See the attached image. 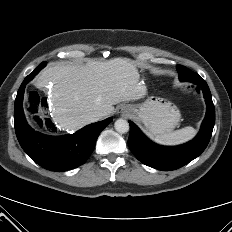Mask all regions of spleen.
Returning a JSON list of instances; mask_svg holds the SVG:
<instances>
[{"label":"spleen","instance_id":"obj_1","mask_svg":"<svg viewBox=\"0 0 232 232\" xmlns=\"http://www.w3.org/2000/svg\"><path fill=\"white\" fill-rule=\"evenodd\" d=\"M196 134L193 127H185L174 132H169L163 135H154L152 139L161 145L173 146L185 143L191 140Z\"/></svg>","mask_w":232,"mask_h":232}]
</instances>
